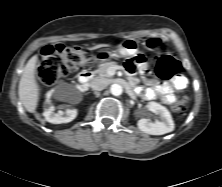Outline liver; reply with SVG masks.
<instances>
[{"label": "liver", "instance_id": "obj_1", "mask_svg": "<svg viewBox=\"0 0 222 187\" xmlns=\"http://www.w3.org/2000/svg\"><path fill=\"white\" fill-rule=\"evenodd\" d=\"M100 46L102 45H97L96 47ZM36 63L37 56H33L27 62L18 88L19 99L25 109L30 113L35 112L39 100V87L35 79Z\"/></svg>", "mask_w": 222, "mask_h": 187}]
</instances>
